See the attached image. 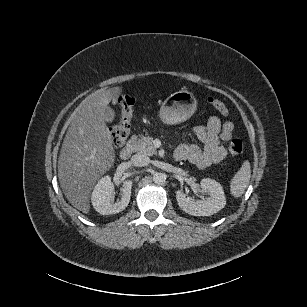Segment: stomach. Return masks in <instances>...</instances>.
I'll list each match as a JSON object with an SVG mask.
<instances>
[{"label":"stomach","mask_w":307,"mask_h":307,"mask_svg":"<svg viewBox=\"0 0 307 307\" xmlns=\"http://www.w3.org/2000/svg\"><path fill=\"white\" fill-rule=\"evenodd\" d=\"M196 109V99L186 91L171 94L163 102L160 118L168 124H177L187 120Z\"/></svg>","instance_id":"1"}]
</instances>
